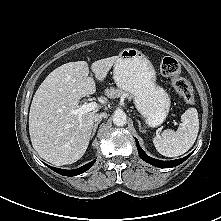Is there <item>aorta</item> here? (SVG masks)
I'll return each mask as SVG.
<instances>
[{"label":"aorta","instance_id":"obj_1","mask_svg":"<svg viewBox=\"0 0 221 221\" xmlns=\"http://www.w3.org/2000/svg\"><path fill=\"white\" fill-rule=\"evenodd\" d=\"M127 122V116L125 114V112L119 110L116 111L113 115V123L116 126H124Z\"/></svg>","mask_w":221,"mask_h":221}]
</instances>
